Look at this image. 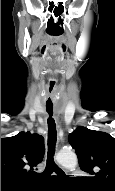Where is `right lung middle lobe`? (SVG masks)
Here are the masks:
<instances>
[{"mask_svg":"<svg viewBox=\"0 0 115 191\" xmlns=\"http://www.w3.org/2000/svg\"><path fill=\"white\" fill-rule=\"evenodd\" d=\"M13 190H16V189L1 187V191H13Z\"/></svg>","mask_w":115,"mask_h":191,"instance_id":"1","label":"right lung middle lobe"}]
</instances>
